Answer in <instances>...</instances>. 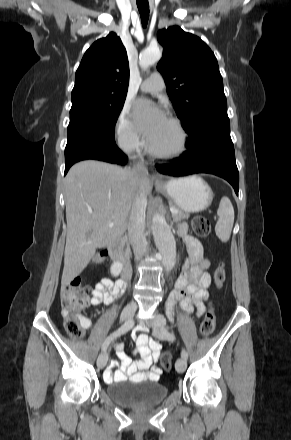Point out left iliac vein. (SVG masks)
<instances>
[{
    "label": "left iliac vein",
    "mask_w": 291,
    "mask_h": 440,
    "mask_svg": "<svg viewBox=\"0 0 291 440\" xmlns=\"http://www.w3.org/2000/svg\"><path fill=\"white\" fill-rule=\"evenodd\" d=\"M151 324L153 327L154 335L159 339H166L163 334L164 327L166 325V319L162 315L156 314L155 318L151 321ZM175 368L178 373H183L186 369V359H184L183 357L179 358L176 361Z\"/></svg>",
    "instance_id": "4c4485c4"
}]
</instances>
